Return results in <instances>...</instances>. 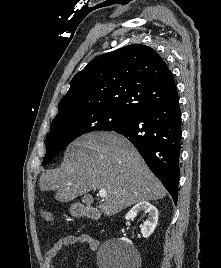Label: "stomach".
I'll use <instances>...</instances> for the list:
<instances>
[{"label":"stomach","instance_id":"stomach-1","mask_svg":"<svg viewBox=\"0 0 221 268\" xmlns=\"http://www.w3.org/2000/svg\"><path fill=\"white\" fill-rule=\"evenodd\" d=\"M70 211L75 216H80V215H82L84 213L83 211L78 210L77 207L74 206V205L70 208Z\"/></svg>","mask_w":221,"mask_h":268}]
</instances>
